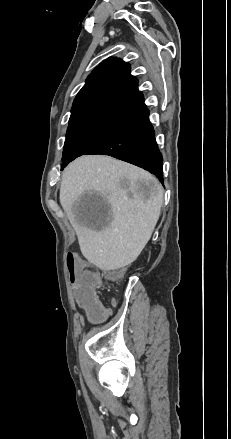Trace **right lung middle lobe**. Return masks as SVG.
I'll return each mask as SVG.
<instances>
[{
	"label": "right lung middle lobe",
	"instance_id": "right-lung-middle-lobe-1",
	"mask_svg": "<svg viewBox=\"0 0 231 439\" xmlns=\"http://www.w3.org/2000/svg\"><path fill=\"white\" fill-rule=\"evenodd\" d=\"M121 121L123 119L105 115L70 117L62 157V170L69 162L83 155Z\"/></svg>",
	"mask_w": 231,
	"mask_h": 439
}]
</instances>
